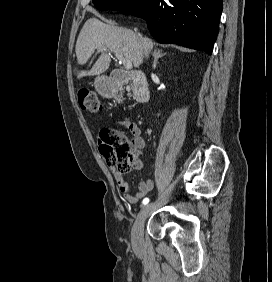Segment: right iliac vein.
Returning <instances> with one entry per match:
<instances>
[{"label": "right iliac vein", "mask_w": 272, "mask_h": 282, "mask_svg": "<svg viewBox=\"0 0 272 282\" xmlns=\"http://www.w3.org/2000/svg\"><path fill=\"white\" fill-rule=\"evenodd\" d=\"M152 205L153 204L150 203L144 206L136 218V221L134 223V226L132 228V233H131V241L134 247H138L141 243L144 224L151 210Z\"/></svg>", "instance_id": "obj_1"}]
</instances>
